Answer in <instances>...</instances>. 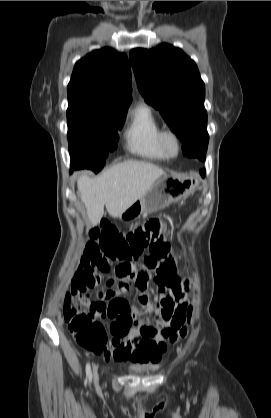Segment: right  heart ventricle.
Wrapping results in <instances>:
<instances>
[{
	"mask_svg": "<svg viewBox=\"0 0 271 418\" xmlns=\"http://www.w3.org/2000/svg\"><path fill=\"white\" fill-rule=\"evenodd\" d=\"M161 125L148 106L136 108L125 130L126 148L144 159L163 161L168 156L159 145Z\"/></svg>",
	"mask_w": 271,
	"mask_h": 418,
	"instance_id": "e07e8e85",
	"label": "right heart ventricle"
}]
</instances>
